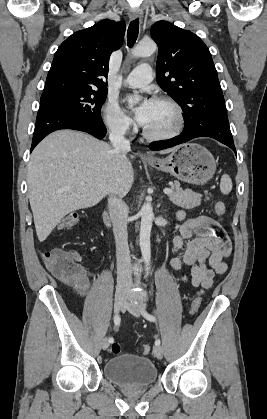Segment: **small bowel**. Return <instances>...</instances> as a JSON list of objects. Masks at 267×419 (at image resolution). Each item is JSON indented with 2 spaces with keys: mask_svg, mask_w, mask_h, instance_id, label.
I'll list each match as a JSON object with an SVG mask.
<instances>
[{
  "mask_svg": "<svg viewBox=\"0 0 267 419\" xmlns=\"http://www.w3.org/2000/svg\"><path fill=\"white\" fill-rule=\"evenodd\" d=\"M177 217L184 219V212L178 211ZM185 252L182 257H174L171 266L180 270L182 265L190 269L189 275L181 277L182 282L194 287H201L200 293L210 288L215 274H224L227 270L225 259L231 254V242L222 226L209 217H198L182 223L180 234L174 238L173 251L177 253L183 246ZM41 258L47 269L55 274L49 266L44 254ZM61 282L73 287L77 293L85 298L89 291V274L83 270L76 277H60Z\"/></svg>",
  "mask_w": 267,
  "mask_h": 419,
  "instance_id": "obj_1",
  "label": "small bowel"
}]
</instances>
